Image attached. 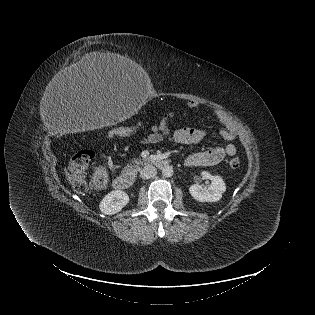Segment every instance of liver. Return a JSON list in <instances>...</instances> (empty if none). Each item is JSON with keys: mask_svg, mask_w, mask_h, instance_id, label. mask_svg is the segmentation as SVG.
<instances>
[{"mask_svg": "<svg viewBox=\"0 0 315 315\" xmlns=\"http://www.w3.org/2000/svg\"><path fill=\"white\" fill-rule=\"evenodd\" d=\"M137 67L131 59L119 54L93 52L66 67L57 77L67 83L125 82L139 73Z\"/></svg>", "mask_w": 315, "mask_h": 315, "instance_id": "1", "label": "liver"}]
</instances>
